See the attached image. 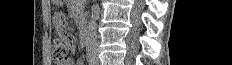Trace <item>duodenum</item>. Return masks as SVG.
Segmentation results:
<instances>
[{
	"label": "duodenum",
	"instance_id": "1",
	"mask_svg": "<svg viewBox=\"0 0 232 65\" xmlns=\"http://www.w3.org/2000/svg\"><path fill=\"white\" fill-rule=\"evenodd\" d=\"M80 44L82 46H86V44H87V31H86V29H82L80 32Z\"/></svg>",
	"mask_w": 232,
	"mask_h": 65
}]
</instances>
